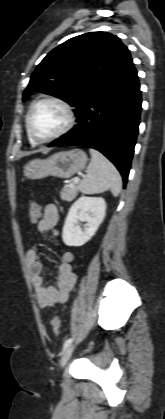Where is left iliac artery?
Instances as JSON below:
<instances>
[{
  "label": "left iliac artery",
  "mask_w": 165,
  "mask_h": 419,
  "mask_svg": "<svg viewBox=\"0 0 165 419\" xmlns=\"http://www.w3.org/2000/svg\"><path fill=\"white\" fill-rule=\"evenodd\" d=\"M72 341H73V339L72 338H70V339H68V340H66L65 342H64V345H63V349H66L71 343H72Z\"/></svg>",
  "instance_id": "1"
}]
</instances>
